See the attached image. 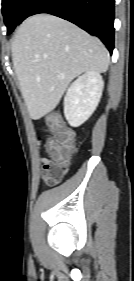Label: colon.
<instances>
[{
  "mask_svg": "<svg viewBox=\"0 0 134 281\" xmlns=\"http://www.w3.org/2000/svg\"><path fill=\"white\" fill-rule=\"evenodd\" d=\"M47 124L52 133V136L47 141V151L52 160L66 170L70 165L71 157L75 150L74 133L56 113L48 115Z\"/></svg>",
  "mask_w": 134,
  "mask_h": 281,
  "instance_id": "colon-1",
  "label": "colon"
}]
</instances>
